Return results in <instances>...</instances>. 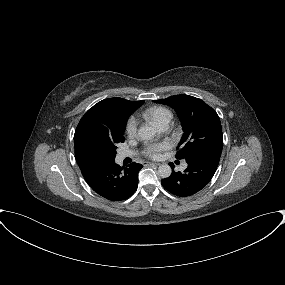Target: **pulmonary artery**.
<instances>
[{"label": "pulmonary artery", "instance_id": "obj_1", "mask_svg": "<svg viewBox=\"0 0 285 285\" xmlns=\"http://www.w3.org/2000/svg\"><path fill=\"white\" fill-rule=\"evenodd\" d=\"M169 123H170V119H167V120L163 121L158 127L161 131H166L169 128ZM130 155H131V153H129V152H121L118 157H119V159H123L125 157L130 156ZM186 167H187V164L183 163L182 168L185 169Z\"/></svg>", "mask_w": 285, "mask_h": 285}]
</instances>
